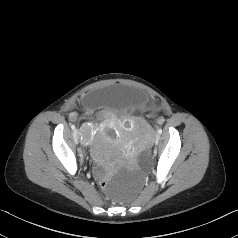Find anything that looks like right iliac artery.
I'll return each instance as SVG.
<instances>
[{"label": "right iliac artery", "instance_id": "82829eb1", "mask_svg": "<svg viewBox=\"0 0 238 238\" xmlns=\"http://www.w3.org/2000/svg\"><path fill=\"white\" fill-rule=\"evenodd\" d=\"M71 129L74 130V129H75V126H74V125H71Z\"/></svg>", "mask_w": 238, "mask_h": 238}]
</instances>
